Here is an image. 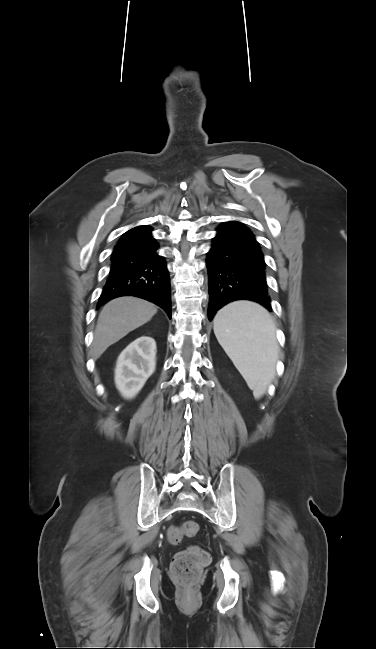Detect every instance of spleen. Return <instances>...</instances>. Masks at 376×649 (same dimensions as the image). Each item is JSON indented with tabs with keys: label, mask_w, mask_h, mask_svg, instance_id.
I'll return each instance as SVG.
<instances>
[{
	"label": "spleen",
	"mask_w": 376,
	"mask_h": 649,
	"mask_svg": "<svg viewBox=\"0 0 376 649\" xmlns=\"http://www.w3.org/2000/svg\"><path fill=\"white\" fill-rule=\"evenodd\" d=\"M270 313L252 301H234L214 318L215 336L256 399L275 375L278 343Z\"/></svg>",
	"instance_id": "obj_1"
}]
</instances>
